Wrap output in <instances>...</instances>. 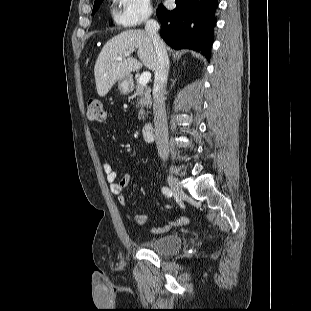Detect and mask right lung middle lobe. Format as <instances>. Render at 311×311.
<instances>
[{
    "mask_svg": "<svg viewBox=\"0 0 311 311\" xmlns=\"http://www.w3.org/2000/svg\"><path fill=\"white\" fill-rule=\"evenodd\" d=\"M102 1H103V0L95 1L92 14H94V13L97 11V9H98V7L100 6V4L102 3Z\"/></svg>",
    "mask_w": 311,
    "mask_h": 311,
    "instance_id": "right-lung-middle-lobe-1",
    "label": "right lung middle lobe"
}]
</instances>
